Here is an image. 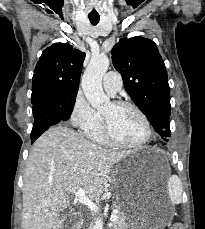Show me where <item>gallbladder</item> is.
Returning a JSON list of instances; mask_svg holds the SVG:
<instances>
[{"instance_id": "1", "label": "gallbladder", "mask_w": 205, "mask_h": 229, "mask_svg": "<svg viewBox=\"0 0 205 229\" xmlns=\"http://www.w3.org/2000/svg\"><path fill=\"white\" fill-rule=\"evenodd\" d=\"M60 218H65V221L63 223V229H68V227L72 224L73 219L71 215H68L66 212H62L60 214Z\"/></svg>"}]
</instances>
